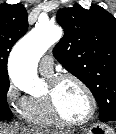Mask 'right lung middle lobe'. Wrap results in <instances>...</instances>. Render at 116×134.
I'll list each match as a JSON object with an SVG mask.
<instances>
[{"mask_svg":"<svg viewBox=\"0 0 116 134\" xmlns=\"http://www.w3.org/2000/svg\"><path fill=\"white\" fill-rule=\"evenodd\" d=\"M9 86L8 77H0V119L10 118L12 115L6 99Z\"/></svg>","mask_w":116,"mask_h":134,"instance_id":"right-lung-middle-lobe-1","label":"right lung middle lobe"}]
</instances>
